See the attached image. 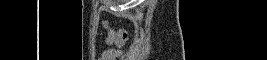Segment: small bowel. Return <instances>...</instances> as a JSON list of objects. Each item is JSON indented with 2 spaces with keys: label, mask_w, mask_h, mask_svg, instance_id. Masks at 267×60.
<instances>
[{
  "label": "small bowel",
  "mask_w": 267,
  "mask_h": 60,
  "mask_svg": "<svg viewBox=\"0 0 267 60\" xmlns=\"http://www.w3.org/2000/svg\"><path fill=\"white\" fill-rule=\"evenodd\" d=\"M105 26L109 30V37L107 39L108 44L121 47L126 41V39L128 38L127 33L123 30L114 31L111 28H109L107 23H105ZM119 54H120L119 50L112 48L104 52V54L102 55V59L103 60H114L117 56H119Z\"/></svg>",
  "instance_id": "small-bowel-1"
}]
</instances>
